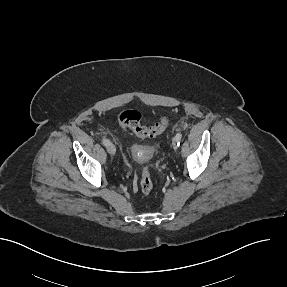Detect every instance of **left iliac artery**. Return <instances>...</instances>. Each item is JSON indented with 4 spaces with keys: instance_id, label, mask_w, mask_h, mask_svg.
Segmentation results:
<instances>
[{
    "instance_id": "1",
    "label": "left iliac artery",
    "mask_w": 287,
    "mask_h": 287,
    "mask_svg": "<svg viewBox=\"0 0 287 287\" xmlns=\"http://www.w3.org/2000/svg\"><path fill=\"white\" fill-rule=\"evenodd\" d=\"M175 137H176V139H177V143L180 144L179 141H181V139H182V134H181V133H178ZM178 144H177V145H178Z\"/></svg>"
}]
</instances>
